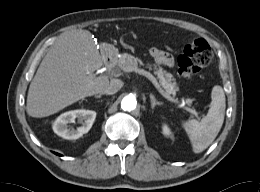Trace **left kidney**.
Returning a JSON list of instances; mask_svg holds the SVG:
<instances>
[{
  "label": "left kidney",
  "mask_w": 260,
  "mask_h": 192,
  "mask_svg": "<svg viewBox=\"0 0 260 192\" xmlns=\"http://www.w3.org/2000/svg\"><path fill=\"white\" fill-rule=\"evenodd\" d=\"M162 130H163V134L166 135V136H169V137H173V134L171 132V129L168 127L167 124H163L162 126Z\"/></svg>",
  "instance_id": "5707ae66"
}]
</instances>
